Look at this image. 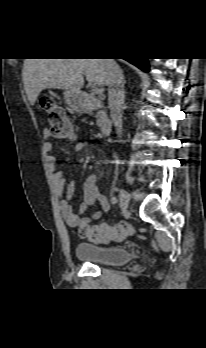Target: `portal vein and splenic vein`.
Segmentation results:
<instances>
[{
  "label": "portal vein and splenic vein",
  "mask_w": 206,
  "mask_h": 348,
  "mask_svg": "<svg viewBox=\"0 0 206 348\" xmlns=\"http://www.w3.org/2000/svg\"><path fill=\"white\" fill-rule=\"evenodd\" d=\"M92 90L97 93V94H102L103 93V88L100 84L98 83H93L92 85Z\"/></svg>",
  "instance_id": "portal-vein-and-splenic-vein-1"
}]
</instances>
